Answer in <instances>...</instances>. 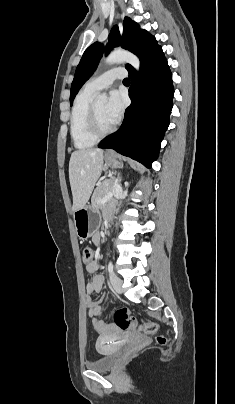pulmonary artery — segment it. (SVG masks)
<instances>
[{
    "label": "pulmonary artery",
    "instance_id": "obj_1",
    "mask_svg": "<svg viewBox=\"0 0 235 404\" xmlns=\"http://www.w3.org/2000/svg\"><path fill=\"white\" fill-rule=\"evenodd\" d=\"M125 76H126L125 69L114 68L89 80L85 84L84 89L88 92L96 93L100 90L110 87L113 84L114 80L122 79Z\"/></svg>",
    "mask_w": 235,
    "mask_h": 404
}]
</instances>
